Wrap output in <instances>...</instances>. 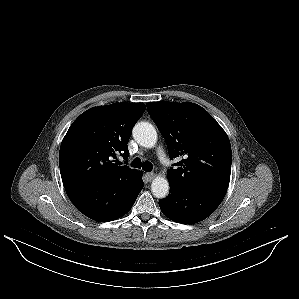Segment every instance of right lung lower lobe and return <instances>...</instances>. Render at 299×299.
<instances>
[{"label":"right lung lower lobe","instance_id":"1","mask_svg":"<svg viewBox=\"0 0 299 299\" xmlns=\"http://www.w3.org/2000/svg\"><path fill=\"white\" fill-rule=\"evenodd\" d=\"M144 183L142 176L135 187L125 181L108 179L65 188L74 206L87 217L107 222L126 214L133 206Z\"/></svg>","mask_w":299,"mask_h":299}]
</instances>
